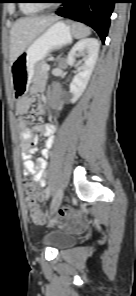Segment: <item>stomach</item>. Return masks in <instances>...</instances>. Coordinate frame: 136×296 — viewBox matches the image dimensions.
Returning a JSON list of instances; mask_svg holds the SVG:
<instances>
[{
    "label": "stomach",
    "instance_id": "stomach-1",
    "mask_svg": "<svg viewBox=\"0 0 136 296\" xmlns=\"http://www.w3.org/2000/svg\"><path fill=\"white\" fill-rule=\"evenodd\" d=\"M73 37L72 29L62 21L50 25L41 33L12 63V75L15 84L29 83L39 63L54 50L70 43ZM14 98H24L30 85H15Z\"/></svg>",
    "mask_w": 136,
    "mask_h": 296
}]
</instances>
